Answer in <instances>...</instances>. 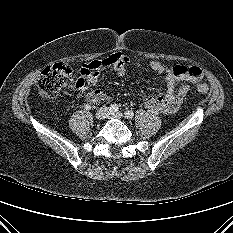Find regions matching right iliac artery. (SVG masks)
I'll list each match as a JSON object with an SVG mask.
<instances>
[{
    "label": "right iliac artery",
    "mask_w": 233,
    "mask_h": 233,
    "mask_svg": "<svg viewBox=\"0 0 233 233\" xmlns=\"http://www.w3.org/2000/svg\"><path fill=\"white\" fill-rule=\"evenodd\" d=\"M119 110V108H118V105H116V104H113V105H111L110 107H109V111L111 112V113H115V112H117Z\"/></svg>",
    "instance_id": "right-iliac-artery-1"
}]
</instances>
